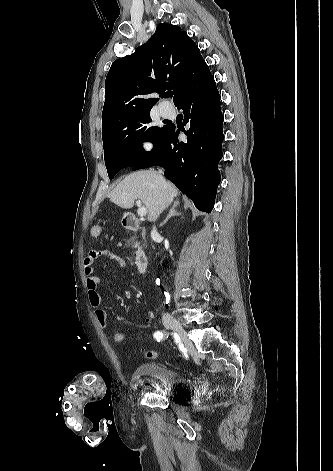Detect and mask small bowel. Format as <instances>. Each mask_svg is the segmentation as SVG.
Wrapping results in <instances>:
<instances>
[{"label":"small bowel","mask_w":333,"mask_h":471,"mask_svg":"<svg viewBox=\"0 0 333 471\" xmlns=\"http://www.w3.org/2000/svg\"><path fill=\"white\" fill-rule=\"evenodd\" d=\"M104 258L109 260L112 263H115L116 265L126 268V262L125 260L120 257L119 255L115 254L114 252L110 250H91L88 252L84 259V273L86 277V286H87V292H88V299L90 305L95 309L94 314L95 318L100 324L101 327L106 328L107 327V312L100 307L101 305V295L99 293V283H100V277L95 273L94 271V264L97 259ZM126 298L130 299L131 298V292L126 291L125 293ZM117 321L118 322H124V323H129L131 320L130 318L124 316V315H117ZM146 324L151 323V318L147 317L145 319Z\"/></svg>","instance_id":"c3829d8e"}]
</instances>
